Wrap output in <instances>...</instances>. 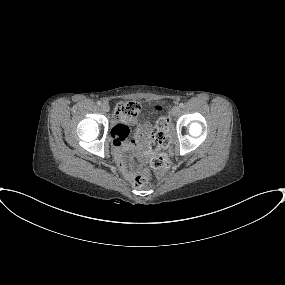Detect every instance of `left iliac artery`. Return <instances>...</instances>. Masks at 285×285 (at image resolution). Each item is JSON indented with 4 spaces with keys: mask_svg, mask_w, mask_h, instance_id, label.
<instances>
[{
    "mask_svg": "<svg viewBox=\"0 0 285 285\" xmlns=\"http://www.w3.org/2000/svg\"><path fill=\"white\" fill-rule=\"evenodd\" d=\"M179 107H181V108L184 107V104H183V103H180V104H179Z\"/></svg>",
    "mask_w": 285,
    "mask_h": 285,
    "instance_id": "44dca946",
    "label": "left iliac artery"
}]
</instances>
